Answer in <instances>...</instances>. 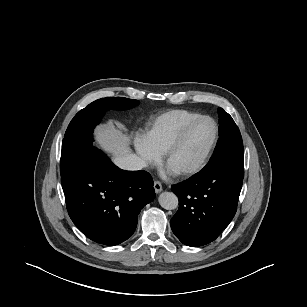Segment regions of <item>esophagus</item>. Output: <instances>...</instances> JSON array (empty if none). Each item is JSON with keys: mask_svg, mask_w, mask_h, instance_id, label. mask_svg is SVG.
<instances>
[{"mask_svg": "<svg viewBox=\"0 0 307 307\" xmlns=\"http://www.w3.org/2000/svg\"><path fill=\"white\" fill-rule=\"evenodd\" d=\"M154 189L156 193H160L162 191V185L159 181H154Z\"/></svg>", "mask_w": 307, "mask_h": 307, "instance_id": "obj_1", "label": "esophagus"}]
</instances>
